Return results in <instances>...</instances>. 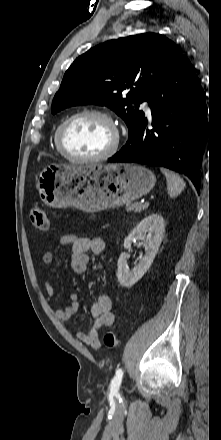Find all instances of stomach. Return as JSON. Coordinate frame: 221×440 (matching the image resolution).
Listing matches in <instances>:
<instances>
[{"mask_svg": "<svg viewBox=\"0 0 221 440\" xmlns=\"http://www.w3.org/2000/svg\"><path fill=\"white\" fill-rule=\"evenodd\" d=\"M155 181L149 169L128 163L49 165L40 172L37 189L50 207L98 212L146 195Z\"/></svg>", "mask_w": 221, "mask_h": 440, "instance_id": "1", "label": "stomach"}]
</instances>
